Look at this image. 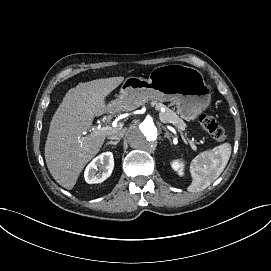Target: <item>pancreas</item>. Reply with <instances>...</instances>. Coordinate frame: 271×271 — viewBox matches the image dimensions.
<instances>
[{"instance_id": "obj_1", "label": "pancreas", "mask_w": 271, "mask_h": 271, "mask_svg": "<svg viewBox=\"0 0 271 271\" xmlns=\"http://www.w3.org/2000/svg\"><path fill=\"white\" fill-rule=\"evenodd\" d=\"M161 107L165 108V111L159 113L160 120L165 123H172L178 129H180L181 132L184 131L186 128L185 122L171 109L165 107L164 105H161Z\"/></svg>"}]
</instances>
